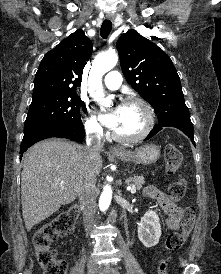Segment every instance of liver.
<instances>
[{
  "instance_id": "1",
  "label": "liver",
  "mask_w": 221,
  "mask_h": 274,
  "mask_svg": "<svg viewBox=\"0 0 221 274\" xmlns=\"http://www.w3.org/2000/svg\"><path fill=\"white\" fill-rule=\"evenodd\" d=\"M86 155L84 146L61 139L43 140L28 149L21 174L22 212L27 231L76 199L88 169L95 176L100 173V155L91 164Z\"/></svg>"
}]
</instances>
